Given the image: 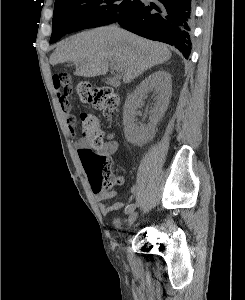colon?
Instances as JSON below:
<instances>
[{
  "instance_id": "colon-1",
  "label": "colon",
  "mask_w": 245,
  "mask_h": 300,
  "mask_svg": "<svg viewBox=\"0 0 245 300\" xmlns=\"http://www.w3.org/2000/svg\"><path fill=\"white\" fill-rule=\"evenodd\" d=\"M53 85L55 89H63L67 94L72 91L71 78L66 73L55 74ZM76 92L81 101L92 104L106 116H111L117 108L118 96L111 87L92 88L87 82H79L76 86ZM80 122L83 139L87 141L88 146L81 148L78 153L92 189L101 193L116 184L117 177L110 169L109 159L98 152L103 142V132L98 118L90 113H82Z\"/></svg>"
}]
</instances>
